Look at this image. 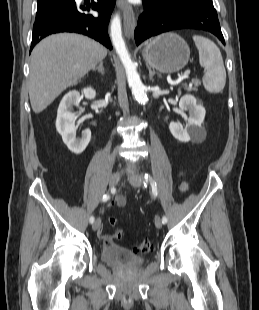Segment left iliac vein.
<instances>
[{"label":"left iliac vein","instance_id":"obj_1","mask_svg":"<svg viewBox=\"0 0 259 310\" xmlns=\"http://www.w3.org/2000/svg\"><path fill=\"white\" fill-rule=\"evenodd\" d=\"M143 177L139 174H131L129 177V182L134 187H140L142 185ZM155 225L158 229L162 227V220L159 216L155 217Z\"/></svg>","mask_w":259,"mask_h":310}]
</instances>
